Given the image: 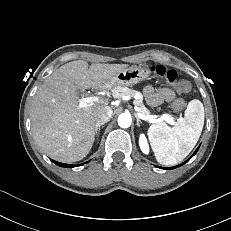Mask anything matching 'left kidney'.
Segmentation results:
<instances>
[{
	"label": "left kidney",
	"mask_w": 231,
	"mask_h": 231,
	"mask_svg": "<svg viewBox=\"0 0 231 231\" xmlns=\"http://www.w3.org/2000/svg\"><path fill=\"white\" fill-rule=\"evenodd\" d=\"M139 146L144 154H149L150 148L145 134H141L139 137Z\"/></svg>",
	"instance_id": "obj_1"
}]
</instances>
